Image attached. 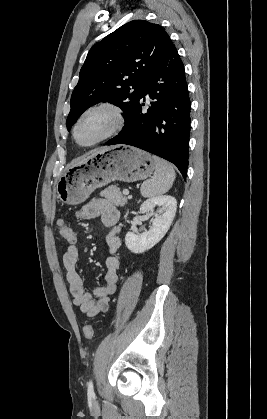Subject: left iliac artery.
<instances>
[{"label": "left iliac artery", "mask_w": 267, "mask_h": 419, "mask_svg": "<svg viewBox=\"0 0 267 419\" xmlns=\"http://www.w3.org/2000/svg\"><path fill=\"white\" fill-rule=\"evenodd\" d=\"M87 392H88V396L94 397L95 394H94V388H93V382H92V380H90L89 383H88Z\"/></svg>", "instance_id": "left-iliac-artery-1"}]
</instances>
